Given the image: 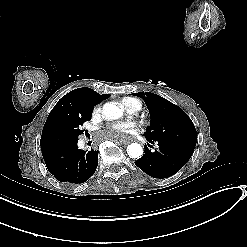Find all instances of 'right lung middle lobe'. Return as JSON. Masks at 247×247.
Returning a JSON list of instances; mask_svg holds the SVG:
<instances>
[{"label": "right lung middle lobe", "mask_w": 247, "mask_h": 247, "mask_svg": "<svg viewBox=\"0 0 247 247\" xmlns=\"http://www.w3.org/2000/svg\"><path fill=\"white\" fill-rule=\"evenodd\" d=\"M90 119L91 117H76L72 121L51 129L41 145V150L77 142L78 136L84 132L80 130V125Z\"/></svg>", "instance_id": "dd1d6c3e"}]
</instances>
